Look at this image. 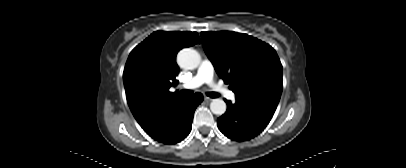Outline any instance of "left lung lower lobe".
<instances>
[{"mask_svg":"<svg viewBox=\"0 0 406 168\" xmlns=\"http://www.w3.org/2000/svg\"><path fill=\"white\" fill-rule=\"evenodd\" d=\"M225 101L227 111L217 119V125L225 136L235 141H246L257 136L270 122L276 109L237 98L234 104Z\"/></svg>","mask_w":406,"mask_h":168,"instance_id":"0a47b994","label":"left lung lower lobe"}]
</instances>
